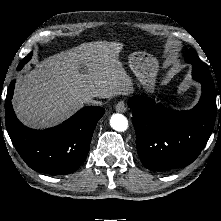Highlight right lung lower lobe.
<instances>
[{
    "instance_id": "right-lung-lower-lobe-1",
    "label": "right lung lower lobe",
    "mask_w": 221,
    "mask_h": 221,
    "mask_svg": "<svg viewBox=\"0 0 221 221\" xmlns=\"http://www.w3.org/2000/svg\"><path fill=\"white\" fill-rule=\"evenodd\" d=\"M14 85L12 81L7 91L5 123L22 159L33 170L53 176L77 170L88 154L94 129L105 109L87 106L56 127L33 130L24 126L13 111Z\"/></svg>"
}]
</instances>
